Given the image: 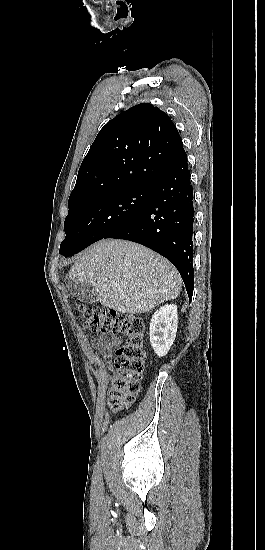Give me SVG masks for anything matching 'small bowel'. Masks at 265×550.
Segmentation results:
<instances>
[{
	"mask_svg": "<svg viewBox=\"0 0 265 550\" xmlns=\"http://www.w3.org/2000/svg\"><path fill=\"white\" fill-rule=\"evenodd\" d=\"M121 340L119 338L101 334L92 340L93 347L98 351L100 356L106 363H109L112 358L111 348L119 345ZM90 358L93 361L97 360V356L94 353H90Z\"/></svg>",
	"mask_w": 265,
	"mask_h": 550,
	"instance_id": "c3829d8e",
	"label": "small bowel"
}]
</instances>
